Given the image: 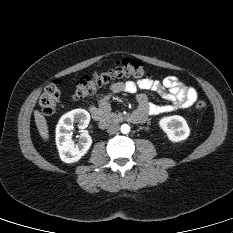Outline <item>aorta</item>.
<instances>
[{
    "instance_id": "1",
    "label": "aorta",
    "mask_w": 233,
    "mask_h": 233,
    "mask_svg": "<svg viewBox=\"0 0 233 233\" xmlns=\"http://www.w3.org/2000/svg\"><path fill=\"white\" fill-rule=\"evenodd\" d=\"M120 129L123 134H127L130 132V126L128 124L121 125Z\"/></svg>"
}]
</instances>
